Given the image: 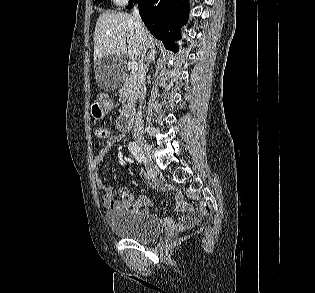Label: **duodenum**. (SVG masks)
<instances>
[{
    "instance_id": "duodenum-1",
    "label": "duodenum",
    "mask_w": 315,
    "mask_h": 293,
    "mask_svg": "<svg viewBox=\"0 0 315 293\" xmlns=\"http://www.w3.org/2000/svg\"><path fill=\"white\" fill-rule=\"evenodd\" d=\"M133 124V116L130 112H124L118 120V128L123 132H128Z\"/></svg>"
}]
</instances>
